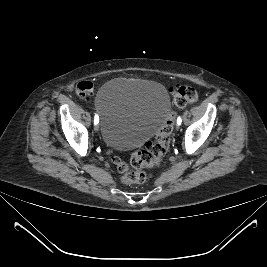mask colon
<instances>
[{
	"instance_id": "colon-1",
	"label": "colon",
	"mask_w": 267,
	"mask_h": 267,
	"mask_svg": "<svg viewBox=\"0 0 267 267\" xmlns=\"http://www.w3.org/2000/svg\"><path fill=\"white\" fill-rule=\"evenodd\" d=\"M171 92L174 105L180 108L193 104L198 99L197 91L191 86H177ZM174 118L175 114L171 112L154 140L148 142L143 148L136 150L131 155L129 163H126L119 157L114 159L123 183H142L147 178L146 169L161 166L164 156L170 147V135Z\"/></svg>"
}]
</instances>
